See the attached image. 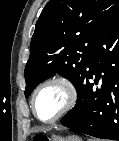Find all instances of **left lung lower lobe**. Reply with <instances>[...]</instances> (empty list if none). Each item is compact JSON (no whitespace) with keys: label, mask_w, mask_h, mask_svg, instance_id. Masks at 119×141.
<instances>
[{"label":"left lung lower lobe","mask_w":119,"mask_h":141,"mask_svg":"<svg viewBox=\"0 0 119 141\" xmlns=\"http://www.w3.org/2000/svg\"><path fill=\"white\" fill-rule=\"evenodd\" d=\"M77 94L75 107L61 123L93 137L119 141V10L98 35Z\"/></svg>","instance_id":"left-lung-lower-lobe-1"}]
</instances>
